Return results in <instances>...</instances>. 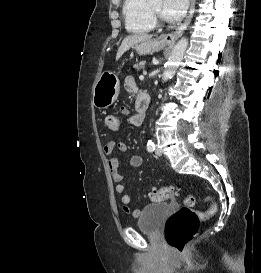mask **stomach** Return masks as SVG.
I'll return each instance as SVG.
<instances>
[{
  "instance_id": "obj_1",
  "label": "stomach",
  "mask_w": 261,
  "mask_h": 273,
  "mask_svg": "<svg viewBox=\"0 0 261 273\" xmlns=\"http://www.w3.org/2000/svg\"><path fill=\"white\" fill-rule=\"evenodd\" d=\"M166 46L160 39H150L134 46L136 52L145 55L161 50ZM120 92L118 77L110 71H104L93 86L94 106L98 109H107L117 99Z\"/></svg>"
}]
</instances>
